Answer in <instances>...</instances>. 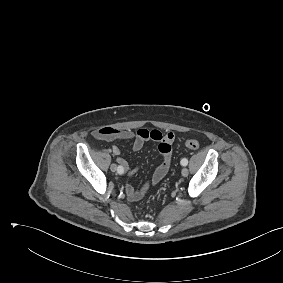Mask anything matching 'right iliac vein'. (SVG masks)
Masks as SVG:
<instances>
[{"mask_svg":"<svg viewBox=\"0 0 283 283\" xmlns=\"http://www.w3.org/2000/svg\"><path fill=\"white\" fill-rule=\"evenodd\" d=\"M110 169H111L112 172H116L117 171V165L111 164Z\"/></svg>","mask_w":283,"mask_h":283,"instance_id":"1","label":"right iliac vein"}]
</instances>
